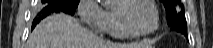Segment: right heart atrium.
<instances>
[{
  "label": "right heart atrium",
  "mask_w": 213,
  "mask_h": 48,
  "mask_svg": "<svg viewBox=\"0 0 213 48\" xmlns=\"http://www.w3.org/2000/svg\"><path fill=\"white\" fill-rule=\"evenodd\" d=\"M79 16L94 32L103 34L107 32L109 22L108 11L96 0H82L78 5Z\"/></svg>",
  "instance_id": "1"
}]
</instances>
